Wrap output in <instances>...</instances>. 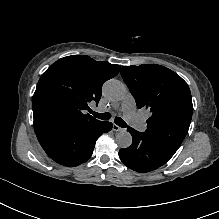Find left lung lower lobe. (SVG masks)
Listing matches in <instances>:
<instances>
[{
    "mask_svg": "<svg viewBox=\"0 0 219 219\" xmlns=\"http://www.w3.org/2000/svg\"><path fill=\"white\" fill-rule=\"evenodd\" d=\"M133 141L128 148L119 151L121 161L130 169L145 173L153 171L166 162L175 154L163 146L151 142L145 133L138 132L129 127Z\"/></svg>",
    "mask_w": 219,
    "mask_h": 219,
    "instance_id": "obj_1",
    "label": "left lung lower lobe"
}]
</instances>
